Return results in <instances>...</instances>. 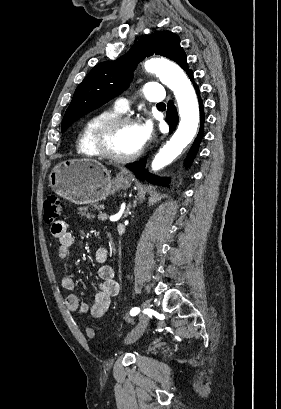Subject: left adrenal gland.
<instances>
[{
    "label": "left adrenal gland",
    "mask_w": 281,
    "mask_h": 409,
    "mask_svg": "<svg viewBox=\"0 0 281 409\" xmlns=\"http://www.w3.org/2000/svg\"><path fill=\"white\" fill-rule=\"evenodd\" d=\"M130 209H131V202H130V205H128V207H127V209H126V211L124 213V217H122V219H125V217H128V213H129Z\"/></svg>",
    "instance_id": "1"
}]
</instances>
